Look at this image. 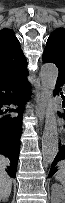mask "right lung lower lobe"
Listing matches in <instances>:
<instances>
[{"label": "right lung lower lobe", "mask_w": 65, "mask_h": 203, "mask_svg": "<svg viewBox=\"0 0 65 203\" xmlns=\"http://www.w3.org/2000/svg\"><path fill=\"white\" fill-rule=\"evenodd\" d=\"M27 74L0 82V154L7 156L11 164L6 170L16 177L22 132V115L30 96ZM13 103L14 108H6Z\"/></svg>", "instance_id": "obj_1"}]
</instances>
